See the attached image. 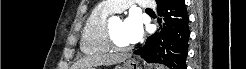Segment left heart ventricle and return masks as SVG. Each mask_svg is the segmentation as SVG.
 <instances>
[{
  "label": "left heart ventricle",
  "instance_id": "b2bd125f",
  "mask_svg": "<svg viewBox=\"0 0 246 69\" xmlns=\"http://www.w3.org/2000/svg\"><path fill=\"white\" fill-rule=\"evenodd\" d=\"M111 29H112V34H113L114 39L118 41L119 44L124 45V46L130 45L126 37V33L124 29V22L122 20H117V21L112 22Z\"/></svg>",
  "mask_w": 246,
  "mask_h": 69
}]
</instances>
